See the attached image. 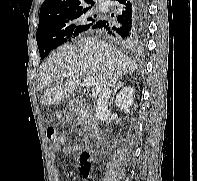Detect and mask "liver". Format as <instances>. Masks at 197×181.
<instances>
[{
    "instance_id": "liver-1",
    "label": "liver",
    "mask_w": 197,
    "mask_h": 181,
    "mask_svg": "<svg viewBox=\"0 0 197 181\" xmlns=\"http://www.w3.org/2000/svg\"><path fill=\"white\" fill-rule=\"evenodd\" d=\"M137 64L121 51L96 37H82L77 45L61 46L41 65L38 89L47 87L44 105L59 104L80 85L79 77L93 76L92 96L97 98L107 84H114L120 76L135 71ZM66 78L63 85L51 87L55 80Z\"/></svg>"
}]
</instances>
